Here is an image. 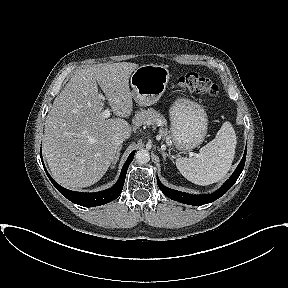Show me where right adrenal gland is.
<instances>
[{"label": "right adrenal gland", "instance_id": "obj_1", "mask_svg": "<svg viewBox=\"0 0 288 288\" xmlns=\"http://www.w3.org/2000/svg\"><path fill=\"white\" fill-rule=\"evenodd\" d=\"M122 149V145L119 146L118 150H117V154H116V157H115V160L113 161L112 163V168L115 167L116 163L118 162L119 160V156H120V151Z\"/></svg>", "mask_w": 288, "mask_h": 288}]
</instances>
